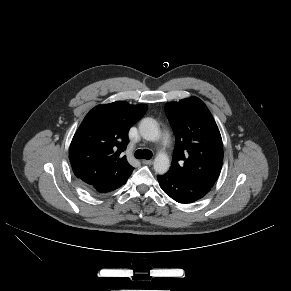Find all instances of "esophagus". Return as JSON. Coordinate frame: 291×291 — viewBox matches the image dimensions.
<instances>
[{
	"mask_svg": "<svg viewBox=\"0 0 291 291\" xmlns=\"http://www.w3.org/2000/svg\"><path fill=\"white\" fill-rule=\"evenodd\" d=\"M142 163L145 165H151L153 164V160H142Z\"/></svg>",
	"mask_w": 291,
	"mask_h": 291,
	"instance_id": "1",
	"label": "esophagus"
}]
</instances>
